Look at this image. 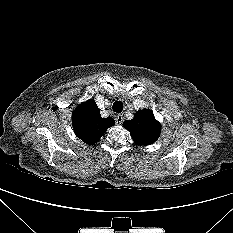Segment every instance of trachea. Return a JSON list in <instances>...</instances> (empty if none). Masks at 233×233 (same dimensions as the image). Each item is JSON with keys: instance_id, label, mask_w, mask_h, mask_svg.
Wrapping results in <instances>:
<instances>
[{"instance_id": "1", "label": "trachea", "mask_w": 233, "mask_h": 233, "mask_svg": "<svg viewBox=\"0 0 233 233\" xmlns=\"http://www.w3.org/2000/svg\"><path fill=\"white\" fill-rule=\"evenodd\" d=\"M113 111L116 113H121L123 111V104L120 101H116L113 104Z\"/></svg>"}]
</instances>
